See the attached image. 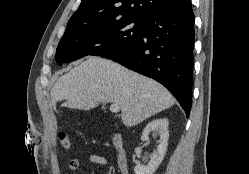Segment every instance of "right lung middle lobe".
Segmentation results:
<instances>
[{
  "label": "right lung middle lobe",
  "mask_w": 249,
  "mask_h": 174,
  "mask_svg": "<svg viewBox=\"0 0 249 174\" xmlns=\"http://www.w3.org/2000/svg\"><path fill=\"white\" fill-rule=\"evenodd\" d=\"M145 20L123 17L105 23L66 29L57 51L56 62H72L87 55L102 56L120 52L142 35Z\"/></svg>",
  "instance_id": "obj_1"
}]
</instances>
